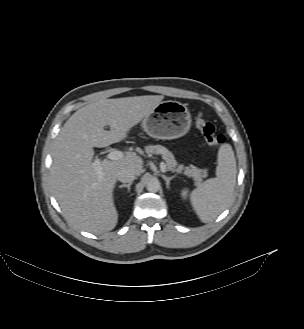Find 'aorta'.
I'll return each instance as SVG.
<instances>
[{
    "instance_id": "aorta-1",
    "label": "aorta",
    "mask_w": 304,
    "mask_h": 329,
    "mask_svg": "<svg viewBox=\"0 0 304 329\" xmlns=\"http://www.w3.org/2000/svg\"><path fill=\"white\" fill-rule=\"evenodd\" d=\"M147 190L149 192H157L159 189H160V183L158 180H150L148 183H147Z\"/></svg>"
}]
</instances>
